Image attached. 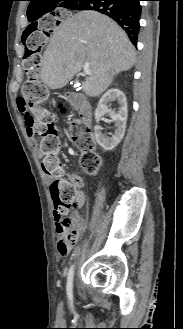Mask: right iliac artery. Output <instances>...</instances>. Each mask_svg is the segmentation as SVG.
Instances as JSON below:
<instances>
[{"mask_svg":"<svg viewBox=\"0 0 183 329\" xmlns=\"http://www.w3.org/2000/svg\"><path fill=\"white\" fill-rule=\"evenodd\" d=\"M73 275H74V267L71 266V268L69 269V272H68V277H67V295H68V298L71 303H72V299H73V294H72Z\"/></svg>","mask_w":183,"mask_h":329,"instance_id":"right-iliac-artery-1","label":"right iliac artery"}]
</instances>
